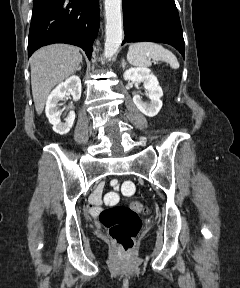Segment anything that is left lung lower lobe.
<instances>
[{"label":"left lung lower lobe","instance_id":"left-lung-lower-lobe-1","mask_svg":"<svg viewBox=\"0 0 240 288\" xmlns=\"http://www.w3.org/2000/svg\"><path fill=\"white\" fill-rule=\"evenodd\" d=\"M126 42L152 41L174 46L184 57V39L174 0H123Z\"/></svg>","mask_w":240,"mask_h":288}]
</instances>
